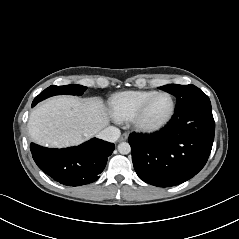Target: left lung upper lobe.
<instances>
[{"label":"left lung upper lobe","instance_id":"1","mask_svg":"<svg viewBox=\"0 0 239 239\" xmlns=\"http://www.w3.org/2000/svg\"><path fill=\"white\" fill-rule=\"evenodd\" d=\"M160 89L173 94L176 99V108L179 109L193 101L208 98L199 88L196 86L189 85H177V84H168L160 87Z\"/></svg>","mask_w":239,"mask_h":239}]
</instances>
